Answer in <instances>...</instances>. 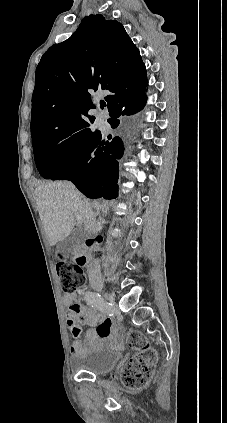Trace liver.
Returning a JSON list of instances; mask_svg holds the SVG:
<instances>
[{"label":"liver","instance_id":"obj_1","mask_svg":"<svg viewBox=\"0 0 227 423\" xmlns=\"http://www.w3.org/2000/svg\"><path fill=\"white\" fill-rule=\"evenodd\" d=\"M34 200L50 245H56L70 235L78 223H85L83 202H88L71 182L39 184L34 190ZM91 225L93 231H97Z\"/></svg>","mask_w":227,"mask_h":423}]
</instances>
